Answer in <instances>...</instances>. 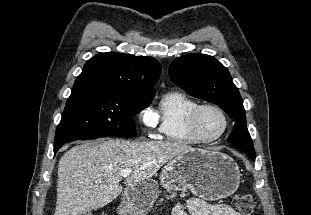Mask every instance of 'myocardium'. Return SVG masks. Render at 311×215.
I'll list each match as a JSON object with an SVG mask.
<instances>
[{
	"mask_svg": "<svg viewBox=\"0 0 311 215\" xmlns=\"http://www.w3.org/2000/svg\"><path fill=\"white\" fill-rule=\"evenodd\" d=\"M205 109L215 110L216 112L220 114V116L223 119L222 130L217 135L212 136V137L206 136L199 127V118H200L202 111ZM228 124H229V121H228L226 112L220 106L216 104H211V103L199 104L191 111L188 117V128H189L190 133L196 139H198L200 142H203V143H210V142H214L220 139L226 132L228 128Z\"/></svg>",
	"mask_w": 311,
	"mask_h": 215,
	"instance_id": "obj_1",
	"label": "myocardium"
}]
</instances>
